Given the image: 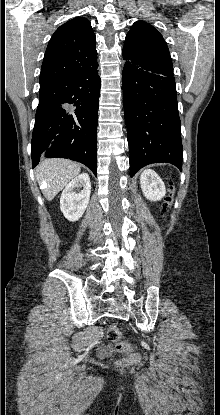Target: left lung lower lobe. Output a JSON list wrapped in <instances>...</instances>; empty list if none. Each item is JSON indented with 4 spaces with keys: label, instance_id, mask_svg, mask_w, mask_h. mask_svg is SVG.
I'll use <instances>...</instances> for the list:
<instances>
[{
    "label": "left lung lower lobe",
    "instance_id": "left-lung-lower-lobe-1",
    "mask_svg": "<svg viewBox=\"0 0 220 415\" xmlns=\"http://www.w3.org/2000/svg\"><path fill=\"white\" fill-rule=\"evenodd\" d=\"M173 71L126 62L122 72L130 175L166 162L182 170L183 149Z\"/></svg>",
    "mask_w": 220,
    "mask_h": 415
}]
</instances>
